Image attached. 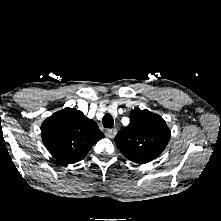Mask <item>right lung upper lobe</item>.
Instances as JSON below:
<instances>
[{"instance_id": "obj_1", "label": "right lung upper lobe", "mask_w": 221, "mask_h": 221, "mask_svg": "<svg viewBox=\"0 0 221 221\" xmlns=\"http://www.w3.org/2000/svg\"><path fill=\"white\" fill-rule=\"evenodd\" d=\"M44 145L63 165L82 160L93 144L104 138L95 121L75 108H65L48 117L41 126Z\"/></svg>"}]
</instances>
